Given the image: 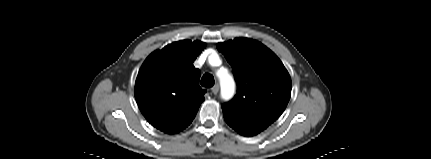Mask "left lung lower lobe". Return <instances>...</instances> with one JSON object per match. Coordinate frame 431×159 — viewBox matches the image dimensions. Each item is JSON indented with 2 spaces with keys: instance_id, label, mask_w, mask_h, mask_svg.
<instances>
[{
  "instance_id": "left-lung-lower-lobe-1",
  "label": "left lung lower lobe",
  "mask_w": 431,
  "mask_h": 159,
  "mask_svg": "<svg viewBox=\"0 0 431 159\" xmlns=\"http://www.w3.org/2000/svg\"><path fill=\"white\" fill-rule=\"evenodd\" d=\"M237 132L243 136H254V135L258 134V132H252V131H243V132L237 131Z\"/></svg>"
}]
</instances>
